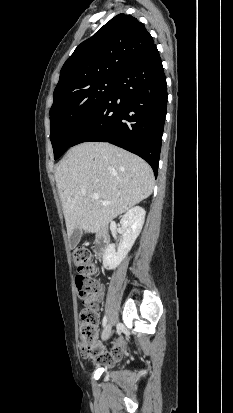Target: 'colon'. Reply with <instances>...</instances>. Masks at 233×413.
Masks as SVG:
<instances>
[{"instance_id":"colon-1","label":"colon","mask_w":233,"mask_h":413,"mask_svg":"<svg viewBox=\"0 0 233 413\" xmlns=\"http://www.w3.org/2000/svg\"><path fill=\"white\" fill-rule=\"evenodd\" d=\"M73 260L77 266L75 285L78 295L81 298H89L99 287V282L95 275L97 266L92 261L91 252L86 248H78L73 251ZM98 305L94 301H89L79 316V340L80 352L84 357L99 356V346L97 342L98 325ZM119 357V356H118ZM101 363H109L112 358L102 357Z\"/></svg>"}]
</instances>
